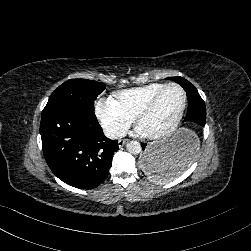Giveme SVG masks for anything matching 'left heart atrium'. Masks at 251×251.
Segmentation results:
<instances>
[{
	"label": "left heart atrium",
	"instance_id": "left-heart-atrium-1",
	"mask_svg": "<svg viewBox=\"0 0 251 251\" xmlns=\"http://www.w3.org/2000/svg\"><path fill=\"white\" fill-rule=\"evenodd\" d=\"M134 134L140 137H150L153 133L145 125L140 124L135 130Z\"/></svg>",
	"mask_w": 251,
	"mask_h": 251
}]
</instances>
